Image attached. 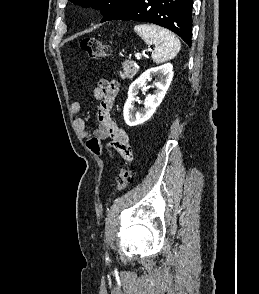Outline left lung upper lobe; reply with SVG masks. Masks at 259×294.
I'll use <instances>...</instances> for the list:
<instances>
[{
    "instance_id": "1",
    "label": "left lung upper lobe",
    "mask_w": 259,
    "mask_h": 294,
    "mask_svg": "<svg viewBox=\"0 0 259 294\" xmlns=\"http://www.w3.org/2000/svg\"><path fill=\"white\" fill-rule=\"evenodd\" d=\"M75 5L82 7H92L99 9L104 16L102 21H105L110 15L116 12L121 7L125 6L132 0H70Z\"/></svg>"
}]
</instances>
